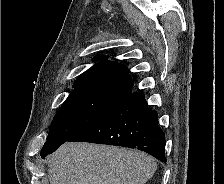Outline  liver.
<instances>
[{
    "label": "liver",
    "instance_id": "6515ba94",
    "mask_svg": "<svg viewBox=\"0 0 224 184\" xmlns=\"http://www.w3.org/2000/svg\"><path fill=\"white\" fill-rule=\"evenodd\" d=\"M50 184H145L157 164L138 150L65 143L48 159Z\"/></svg>",
    "mask_w": 224,
    "mask_h": 184
}]
</instances>
